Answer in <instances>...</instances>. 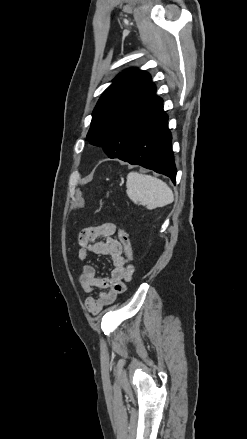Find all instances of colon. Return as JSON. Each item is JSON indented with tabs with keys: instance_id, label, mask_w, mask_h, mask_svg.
I'll return each mask as SVG.
<instances>
[{
	"instance_id": "1",
	"label": "colon",
	"mask_w": 247,
	"mask_h": 439,
	"mask_svg": "<svg viewBox=\"0 0 247 439\" xmlns=\"http://www.w3.org/2000/svg\"><path fill=\"white\" fill-rule=\"evenodd\" d=\"M111 229H113V231L117 233L118 240L123 247V253L125 255L126 262L131 263L133 260V249L128 233L121 228H117L115 224L111 225Z\"/></svg>"
}]
</instances>
